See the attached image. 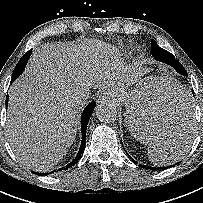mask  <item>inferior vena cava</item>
<instances>
[{"mask_svg":"<svg viewBox=\"0 0 203 203\" xmlns=\"http://www.w3.org/2000/svg\"><path fill=\"white\" fill-rule=\"evenodd\" d=\"M87 98H88V95H84V94L79 95V96H78V102L82 103V102H84Z\"/></svg>","mask_w":203,"mask_h":203,"instance_id":"inferior-vena-cava-1","label":"inferior vena cava"}]
</instances>
